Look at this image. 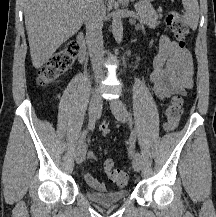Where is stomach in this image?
<instances>
[{"label": "stomach", "mask_w": 216, "mask_h": 217, "mask_svg": "<svg viewBox=\"0 0 216 217\" xmlns=\"http://www.w3.org/2000/svg\"><path fill=\"white\" fill-rule=\"evenodd\" d=\"M152 1H154V0H146V2H152Z\"/></svg>", "instance_id": "0dacf381"}]
</instances>
